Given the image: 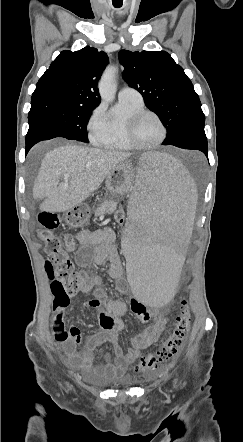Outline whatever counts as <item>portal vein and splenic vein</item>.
I'll return each mask as SVG.
<instances>
[{
	"label": "portal vein and splenic vein",
	"mask_w": 243,
	"mask_h": 442,
	"mask_svg": "<svg viewBox=\"0 0 243 442\" xmlns=\"http://www.w3.org/2000/svg\"><path fill=\"white\" fill-rule=\"evenodd\" d=\"M69 174H66L65 176H64V178L67 180L68 178H69Z\"/></svg>",
	"instance_id": "obj_1"
}]
</instances>
